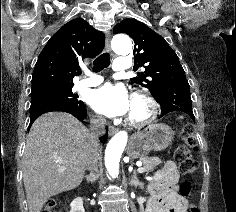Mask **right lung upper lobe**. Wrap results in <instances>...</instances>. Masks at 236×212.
Here are the masks:
<instances>
[{"mask_svg":"<svg viewBox=\"0 0 236 212\" xmlns=\"http://www.w3.org/2000/svg\"><path fill=\"white\" fill-rule=\"evenodd\" d=\"M105 36L77 18L61 27L38 56L31 92L49 87L71 86L79 61L94 58L103 50Z\"/></svg>","mask_w":236,"mask_h":212,"instance_id":"1","label":"right lung upper lobe"}]
</instances>
